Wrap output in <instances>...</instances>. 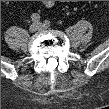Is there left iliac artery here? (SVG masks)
<instances>
[{
	"instance_id": "1",
	"label": "left iliac artery",
	"mask_w": 109,
	"mask_h": 109,
	"mask_svg": "<svg viewBox=\"0 0 109 109\" xmlns=\"http://www.w3.org/2000/svg\"><path fill=\"white\" fill-rule=\"evenodd\" d=\"M44 23H45L46 25L50 26V21H49V20H46Z\"/></svg>"
}]
</instances>
